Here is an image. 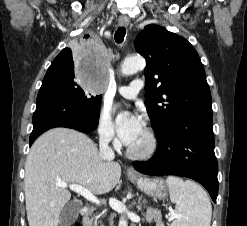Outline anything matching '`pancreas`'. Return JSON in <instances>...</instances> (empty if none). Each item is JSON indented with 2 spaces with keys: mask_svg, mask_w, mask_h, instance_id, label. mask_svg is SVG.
Segmentation results:
<instances>
[{
  "mask_svg": "<svg viewBox=\"0 0 247 226\" xmlns=\"http://www.w3.org/2000/svg\"><path fill=\"white\" fill-rule=\"evenodd\" d=\"M152 217L157 221V222H160V218L157 216V213L155 212H152L151 213ZM101 215H98L95 219L91 218L88 220L87 222V226H97L98 224V218L100 217Z\"/></svg>",
  "mask_w": 247,
  "mask_h": 226,
  "instance_id": "pancreas-1",
  "label": "pancreas"
}]
</instances>
